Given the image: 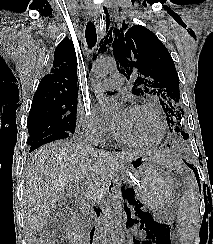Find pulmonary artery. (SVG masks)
Wrapping results in <instances>:
<instances>
[{
  "label": "pulmonary artery",
  "instance_id": "pulmonary-artery-1",
  "mask_svg": "<svg viewBox=\"0 0 213 244\" xmlns=\"http://www.w3.org/2000/svg\"><path fill=\"white\" fill-rule=\"evenodd\" d=\"M125 83V76L120 73H113L106 81L97 85L100 92L114 91Z\"/></svg>",
  "mask_w": 213,
  "mask_h": 244
}]
</instances>
